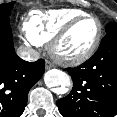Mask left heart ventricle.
<instances>
[{
  "label": "left heart ventricle",
  "mask_w": 117,
  "mask_h": 117,
  "mask_svg": "<svg viewBox=\"0 0 117 117\" xmlns=\"http://www.w3.org/2000/svg\"><path fill=\"white\" fill-rule=\"evenodd\" d=\"M97 34V23L88 19L80 23L69 34L62 44V51L69 55L85 52L94 41Z\"/></svg>",
  "instance_id": "b2bd125f"
}]
</instances>
